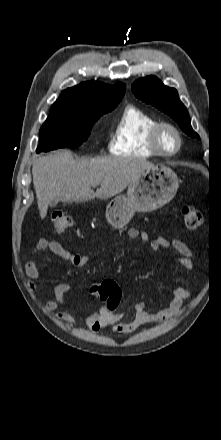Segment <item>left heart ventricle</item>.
<instances>
[{"mask_svg":"<svg viewBox=\"0 0 221 440\" xmlns=\"http://www.w3.org/2000/svg\"><path fill=\"white\" fill-rule=\"evenodd\" d=\"M161 143L165 150L172 151L176 146V137L174 133L165 129L162 133Z\"/></svg>","mask_w":221,"mask_h":440,"instance_id":"obj_1","label":"left heart ventricle"}]
</instances>
